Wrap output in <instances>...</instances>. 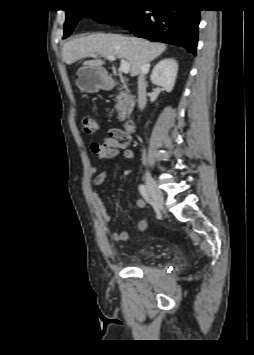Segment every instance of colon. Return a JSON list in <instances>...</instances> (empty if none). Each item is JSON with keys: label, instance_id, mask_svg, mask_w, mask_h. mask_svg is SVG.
Masks as SVG:
<instances>
[{"label": "colon", "instance_id": "5ec220e1", "mask_svg": "<svg viewBox=\"0 0 254 355\" xmlns=\"http://www.w3.org/2000/svg\"><path fill=\"white\" fill-rule=\"evenodd\" d=\"M83 130L87 134H94L97 131V123L91 117H85L82 120Z\"/></svg>", "mask_w": 254, "mask_h": 355}]
</instances>
